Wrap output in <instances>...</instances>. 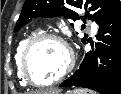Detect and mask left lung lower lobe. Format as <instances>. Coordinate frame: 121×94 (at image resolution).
<instances>
[{
    "mask_svg": "<svg viewBox=\"0 0 121 94\" xmlns=\"http://www.w3.org/2000/svg\"><path fill=\"white\" fill-rule=\"evenodd\" d=\"M95 49L60 87H85L100 94H121V10L102 21Z\"/></svg>",
    "mask_w": 121,
    "mask_h": 94,
    "instance_id": "obj_1",
    "label": "left lung lower lobe"
}]
</instances>
